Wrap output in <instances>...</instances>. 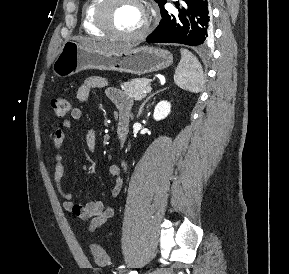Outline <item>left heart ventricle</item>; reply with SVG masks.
Here are the masks:
<instances>
[{"mask_svg":"<svg viewBox=\"0 0 289 274\" xmlns=\"http://www.w3.org/2000/svg\"><path fill=\"white\" fill-rule=\"evenodd\" d=\"M112 27L122 34L140 31L146 22L145 10L132 2L117 3L110 14Z\"/></svg>","mask_w":289,"mask_h":274,"instance_id":"1","label":"left heart ventricle"}]
</instances>
